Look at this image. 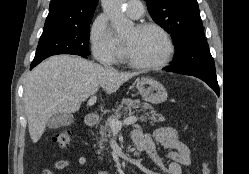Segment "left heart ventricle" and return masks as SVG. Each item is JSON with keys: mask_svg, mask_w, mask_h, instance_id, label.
Wrapping results in <instances>:
<instances>
[{"mask_svg": "<svg viewBox=\"0 0 249 174\" xmlns=\"http://www.w3.org/2000/svg\"><path fill=\"white\" fill-rule=\"evenodd\" d=\"M127 58L140 63H155L166 57L169 47L164 36L154 29L138 31L134 28L124 39Z\"/></svg>", "mask_w": 249, "mask_h": 174, "instance_id": "1", "label": "left heart ventricle"}]
</instances>
